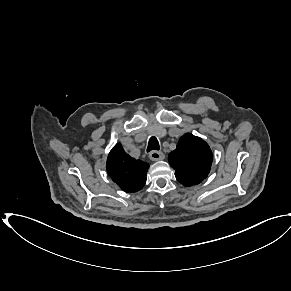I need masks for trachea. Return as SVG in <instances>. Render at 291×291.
Returning <instances> with one entry per match:
<instances>
[{"label":"trachea","instance_id":"1","mask_svg":"<svg viewBox=\"0 0 291 291\" xmlns=\"http://www.w3.org/2000/svg\"><path fill=\"white\" fill-rule=\"evenodd\" d=\"M159 148L160 146H159V142L157 138L152 136L148 142L147 152L152 151V150H159Z\"/></svg>","mask_w":291,"mask_h":291}]
</instances>
